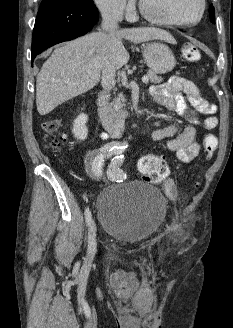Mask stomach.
<instances>
[{"label":"stomach","mask_w":233,"mask_h":328,"mask_svg":"<svg viewBox=\"0 0 233 328\" xmlns=\"http://www.w3.org/2000/svg\"><path fill=\"white\" fill-rule=\"evenodd\" d=\"M143 57L148 67L159 74L170 72L176 65L173 52L161 42L143 44Z\"/></svg>","instance_id":"0dacf381"}]
</instances>
